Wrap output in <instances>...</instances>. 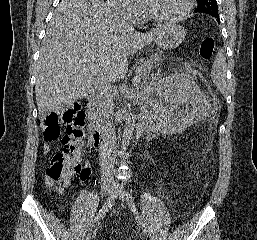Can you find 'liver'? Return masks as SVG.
Instances as JSON below:
<instances>
[{
	"mask_svg": "<svg viewBox=\"0 0 257 240\" xmlns=\"http://www.w3.org/2000/svg\"><path fill=\"white\" fill-rule=\"evenodd\" d=\"M164 26L139 33L103 0H62L40 48L35 85L40 116L82 98L95 80L122 79L129 56L154 41ZM93 66L96 70H89Z\"/></svg>",
	"mask_w": 257,
	"mask_h": 240,
	"instance_id": "1",
	"label": "liver"
}]
</instances>
